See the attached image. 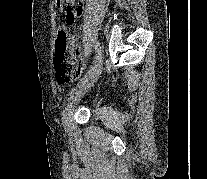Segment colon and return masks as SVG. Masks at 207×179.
Instances as JSON below:
<instances>
[{"label":"colon","mask_w":207,"mask_h":179,"mask_svg":"<svg viewBox=\"0 0 207 179\" xmlns=\"http://www.w3.org/2000/svg\"><path fill=\"white\" fill-rule=\"evenodd\" d=\"M58 8L65 14V23L71 24L75 6L74 0H56ZM55 77L57 81L67 83L78 79L83 73L80 54L71 52L68 31L60 28L55 40L54 50Z\"/></svg>","instance_id":"5ec220e1"}]
</instances>
